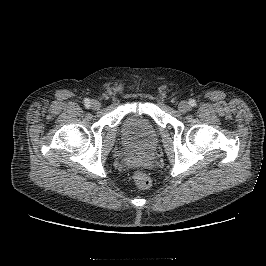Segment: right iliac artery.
<instances>
[{
  "mask_svg": "<svg viewBox=\"0 0 266 266\" xmlns=\"http://www.w3.org/2000/svg\"><path fill=\"white\" fill-rule=\"evenodd\" d=\"M84 102H85L86 105H89L90 100L86 98V99L84 100Z\"/></svg>",
  "mask_w": 266,
  "mask_h": 266,
  "instance_id": "obj_1",
  "label": "right iliac artery"
}]
</instances>
